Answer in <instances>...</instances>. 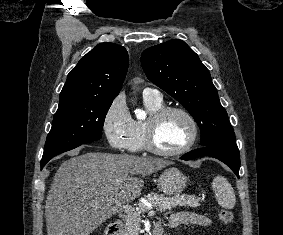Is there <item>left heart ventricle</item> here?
<instances>
[{
  "instance_id": "obj_1",
  "label": "left heart ventricle",
  "mask_w": 283,
  "mask_h": 235,
  "mask_svg": "<svg viewBox=\"0 0 283 235\" xmlns=\"http://www.w3.org/2000/svg\"><path fill=\"white\" fill-rule=\"evenodd\" d=\"M191 133L187 119L179 113H170L157 125L154 134L156 146L165 151L182 147Z\"/></svg>"
}]
</instances>
